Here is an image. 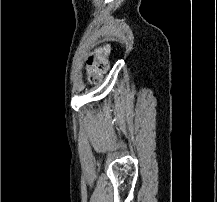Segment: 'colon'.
<instances>
[{"label":"colon","mask_w":217,"mask_h":202,"mask_svg":"<svg viewBox=\"0 0 217 202\" xmlns=\"http://www.w3.org/2000/svg\"><path fill=\"white\" fill-rule=\"evenodd\" d=\"M110 53V44L100 46L90 53L85 65V71L90 82L99 83L108 71Z\"/></svg>","instance_id":"5ec220e1"}]
</instances>
